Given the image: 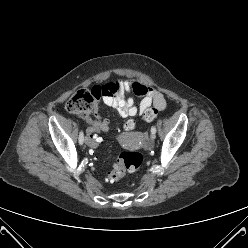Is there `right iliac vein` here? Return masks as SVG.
I'll use <instances>...</instances> for the list:
<instances>
[{
    "label": "right iliac vein",
    "instance_id": "1",
    "mask_svg": "<svg viewBox=\"0 0 248 248\" xmlns=\"http://www.w3.org/2000/svg\"><path fill=\"white\" fill-rule=\"evenodd\" d=\"M85 144L88 145L89 144V138L86 136L85 137Z\"/></svg>",
    "mask_w": 248,
    "mask_h": 248
}]
</instances>
